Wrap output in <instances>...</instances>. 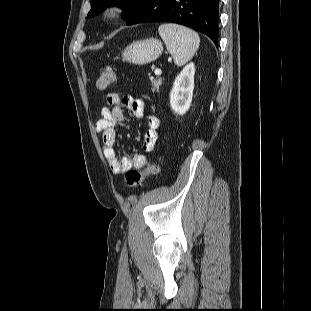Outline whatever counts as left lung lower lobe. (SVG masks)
<instances>
[{
    "label": "left lung lower lobe",
    "instance_id": "0a47b994",
    "mask_svg": "<svg viewBox=\"0 0 311 311\" xmlns=\"http://www.w3.org/2000/svg\"><path fill=\"white\" fill-rule=\"evenodd\" d=\"M127 25L172 22L206 34L215 44L219 36V0H142L125 18Z\"/></svg>",
    "mask_w": 311,
    "mask_h": 311
}]
</instances>
